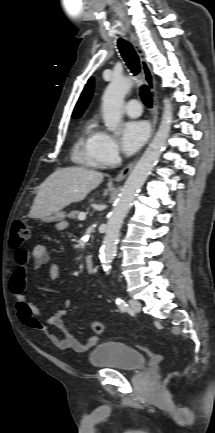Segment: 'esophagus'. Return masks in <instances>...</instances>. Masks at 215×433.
I'll list each match as a JSON object with an SVG mask.
<instances>
[{"label":"esophagus","instance_id":"34e87169","mask_svg":"<svg viewBox=\"0 0 215 433\" xmlns=\"http://www.w3.org/2000/svg\"><path fill=\"white\" fill-rule=\"evenodd\" d=\"M130 41H131L134 49L136 50V52L139 56L143 76H144V79H145L149 89H150L152 100H153L152 133H151V136H152L154 131H155V127H156V124L158 121V104H159L157 92H156V86H155V78H154L151 66L146 59V55L140 46V43H139L137 36L134 34H130ZM135 163H136V159L133 160L132 162H130L127 166H125L119 172V174L115 177V181L120 182V181L124 180L129 175L131 170L133 169Z\"/></svg>","mask_w":215,"mask_h":433}]
</instances>
